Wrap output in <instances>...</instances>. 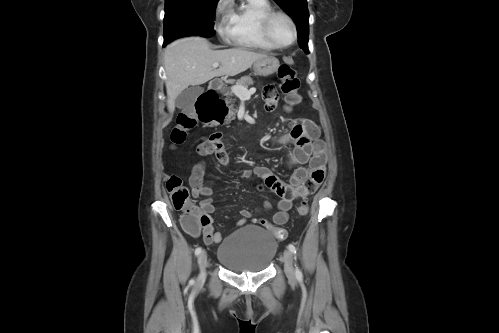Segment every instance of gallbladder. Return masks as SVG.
I'll use <instances>...</instances> for the list:
<instances>
[{
  "instance_id": "bac80fb5",
  "label": "gallbladder",
  "mask_w": 499,
  "mask_h": 333,
  "mask_svg": "<svg viewBox=\"0 0 499 333\" xmlns=\"http://www.w3.org/2000/svg\"><path fill=\"white\" fill-rule=\"evenodd\" d=\"M204 88L200 86H192L181 92L176 100L175 106L179 109L191 108L196 102L197 98L203 93Z\"/></svg>"
}]
</instances>
